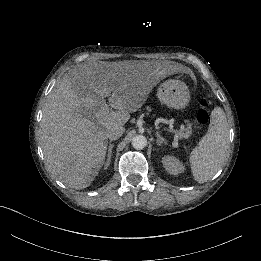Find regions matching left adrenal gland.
Returning <instances> with one entry per match:
<instances>
[{
  "instance_id": "a2214340",
  "label": "left adrenal gland",
  "mask_w": 261,
  "mask_h": 261,
  "mask_svg": "<svg viewBox=\"0 0 261 261\" xmlns=\"http://www.w3.org/2000/svg\"><path fill=\"white\" fill-rule=\"evenodd\" d=\"M156 137H157L156 143L158 146L161 147L163 144H167V142L164 140V138L160 135L159 132H156Z\"/></svg>"
}]
</instances>
